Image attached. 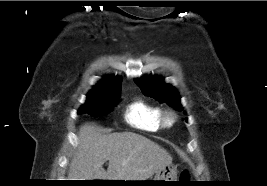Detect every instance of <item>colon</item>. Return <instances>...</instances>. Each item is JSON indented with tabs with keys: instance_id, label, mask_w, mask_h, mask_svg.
Here are the masks:
<instances>
[{
	"instance_id": "colon-1",
	"label": "colon",
	"mask_w": 267,
	"mask_h": 186,
	"mask_svg": "<svg viewBox=\"0 0 267 186\" xmlns=\"http://www.w3.org/2000/svg\"><path fill=\"white\" fill-rule=\"evenodd\" d=\"M188 177H189L188 172H187L186 170L183 171L182 174H181V178H182L183 180H186V179H188Z\"/></svg>"
}]
</instances>
